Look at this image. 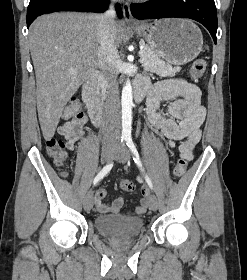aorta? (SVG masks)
Segmentation results:
<instances>
[{
    "instance_id": "1",
    "label": "aorta",
    "mask_w": 247,
    "mask_h": 280,
    "mask_svg": "<svg viewBox=\"0 0 247 280\" xmlns=\"http://www.w3.org/2000/svg\"><path fill=\"white\" fill-rule=\"evenodd\" d=\"M132 86L130 80L127 79L121 97V106H122V135L128 136L131 134L132 128Z\"/></svg>"
}]
</instances>
